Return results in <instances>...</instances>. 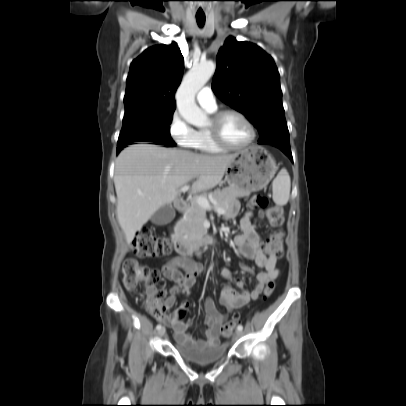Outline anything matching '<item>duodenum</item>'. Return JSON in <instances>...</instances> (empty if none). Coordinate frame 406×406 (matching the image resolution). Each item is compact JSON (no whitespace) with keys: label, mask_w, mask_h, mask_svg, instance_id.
Here are the masks:
<instances>
[{"label":"duodenum","mask_w":406,"mask_h":406,"mask_svg":"<svg viewBox=\"0 0 406 406\" xmlns=\"http://www.w3.org/2000/svg\"><path fill=\"white\" fill-rule=\"evenodd\" d=\"M174 207L177 212L182 213L186 210L187 203L184 200H178L175 202ZM170 236L175 250L181 256L185 257L191 255L201 247L216 243V238L207 232H202L193 236H184L180 235L175 229H172Z\"/></svg>","instance_id":"obj_1"}]
</instances>
